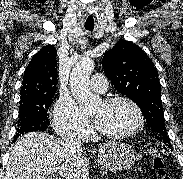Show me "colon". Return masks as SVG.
Returning a JSON list of instances; mask_svg holds the SVG:
<instances>
[{"label": "colon", "mask_w": 183, "mask_h": 179, "mask_svg": "<svg viewBox=\"0 0 183 179\" xmlns=\"http://www.w3.org/2000/svg\"><path fill=\"white\" fill-rule=\"evenodd\" d=\"M151 156H152V166L153 168L159 172L160 174V179H171L170 176H168L164 171H163V161L161 154L159 153L158 150H151Z\"/></svg>", "instance_id": "colon-1"}]
</instances>
